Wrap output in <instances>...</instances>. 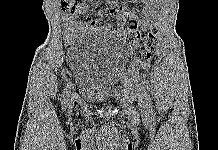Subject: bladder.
I'll return each mask as SVG.
<instances>
[{"mask_svg":"<svg viewBox=\"0 0 218 150\" xmlns=\"http://www.w3.org/2000/svg\"><path fill=\"white\" fill-rule=\"evenodd\" d=\"M77 54L82 96L101 105L118 101L133 79L118 68L120 53L114 39L105 33L89 34L81 40Z\"/></svg>","mask_w":218,"mask_h":150,"instance_id":"obj_1","label":"bladder"}]
</instances>
